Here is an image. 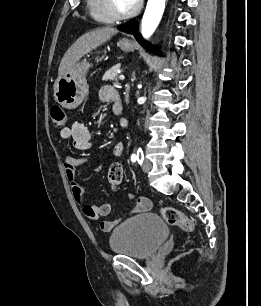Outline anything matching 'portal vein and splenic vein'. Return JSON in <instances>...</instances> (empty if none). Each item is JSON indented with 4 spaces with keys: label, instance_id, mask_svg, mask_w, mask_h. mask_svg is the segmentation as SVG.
<instances>
[{
    "label": "portal vein and splenic vein",
    "instance_id": "obj_1",
    "mask_svg": "<svg viewBox=\"0 0 261 306\" xmlns=\"http://www.w3.org/2000/svg\"><path fill=\"white\" fill-rule=\"evenodd\" d=\"M119 79H120V80H124V79H125V76H124V75H120V76H119Z\"/></svg>",
    "mask_w": 261,
    "mask_h": 306
}]
</instances>
